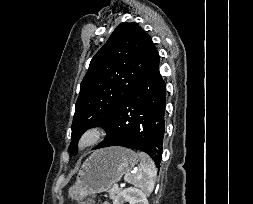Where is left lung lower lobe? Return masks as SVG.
I'll use <instances>...</instances> for the list:
<instances>
[{"mask_svg":"<svg viewBox=\"0 0 253 204\" xmlns=\"http://www.w3.org/2000/svg\"><path fill=\"white\" fill-rule=\"evenodd\" d=\"M165 95L156 50L141 79L105 128L107 137L94 149L123 146L141 150L159 167L165 128Z\"/></svg>","mask_w":253,"mask_h":204,"instance_id":"0a47b994","label":"left lung lower lobe"}]
</instances>
